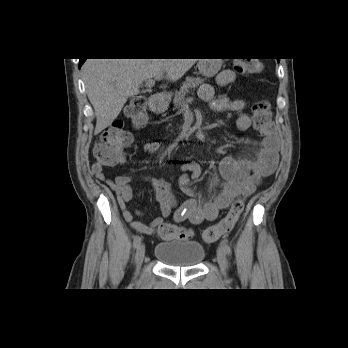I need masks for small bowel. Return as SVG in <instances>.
<instances>
[{
	"instance_id": "obj_1",
	"label": "small bowel",
	"mask_w": 348,
	"mask_h": 348,
	"mask_svg": "<svg viewBox=\"0 0 348 348\" xmlns=\"http://www.w3.org/2000/svg\"><path fill=\"white\" fill-rule=\"evenodd\" d=\"M236 80V74L231 70L222 71L217 77V83L226 87ZM199 97L208 102L211 108L217 112H238L235 127L244 132L250 129L251 119L245 112L244 100H232L227 96L215 97L214 89L209 84H203L199 88ZM161 148L159 142H146L142 150L148 155L157 153ZM279 138L277 134L268 135L257 151V157L250 159L224 158L219 165V170L225 179L221 189L214 199L201 202L191 180L197 181L201 176V166L196 162L183 164V174L179 177L182 191L189 197L181 205L171 190L170 183L164 178L139 177L138 179L149 183L154 192V198L159 204L161 216L154 218L149 224L144 225L134 219V214L127 208V203L133 195L131 183L137 179L132 175H119L114 179L107 176L104 171L106 165L95 163L92 167L97 179L107 184L116 194L118 205L122 211L124 220L135 230L151 235L164 224V219L171 216L175 222L189 221L192 224H200L204 221L214 220L221 209L227 208L232 200L238 196H250L257 185L267 176L273 174L278 165ZM124 156L117 164H126ZM115 164V165H117ZM136 214L140 212L136 211Z\"/></svg>"
}]
</instances>
